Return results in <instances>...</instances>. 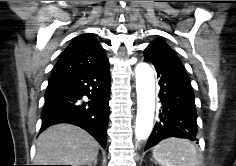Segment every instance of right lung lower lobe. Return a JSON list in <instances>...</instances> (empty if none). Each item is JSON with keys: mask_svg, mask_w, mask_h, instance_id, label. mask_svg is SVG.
<instances>
[{"mask_svg": "<svg viewBox=\"0 0 236 166\" xmlns=\"http://www.w3.org/2000/svg\"><path fill=\"white\" fill-rule=\"evenodd\" d=\"M110 68L52 74L45 94L41 132L70 123L89 132L104 148L109 117ZM87 96L90 101H83Z\"/></svg>", "mask_w": 236, "mask_h": 166, "instance_id": "obj_1", "label": "right lung lower lobe"}]
</instances>
